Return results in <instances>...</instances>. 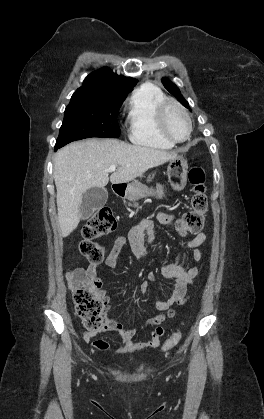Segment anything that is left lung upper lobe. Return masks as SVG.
I'll return each instance as SVG.
<instances>
[{"mask_svg":"<svg viewBox=\"0 0 264 419\" xmlns=\"http://www.w3.org/2000/svg\"><path fill=\"white\" fill-rule=\"evenodd\" d=\"M162 83L165 86V88L171 93L173 94L186 108H189V104L188 102L183 98V96L181 95L179 89L177 88L176 85H174L173 83H171L168 79L166 78H162Z\"/></svg>","mask_w":264,"mask_h":419,"instance_id":"5c2ea615","label":"left lung upper lobe"}]
</instances>
